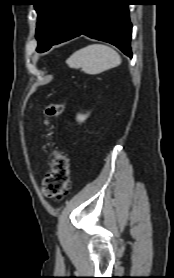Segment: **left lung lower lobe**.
Listing matches in <instances>:
<instances>
[{
  "mask_svg": "<svg viewBox=\"0 0 174 278\" xmlns=\"http://www.w3.org/2000/svg\"><path fill=\"white\" fill-rule=\"evenodd\" d=\"M130 4V0H77L75 9L55 44L85 34L115 45L132 58V25L127 7Z\"/></svg>",
  "mask_w": 174,
  "mask_h": 278,
  "instance_id": "obj_1",
  "label": "left lung lower lobe"
}]
</instances>
